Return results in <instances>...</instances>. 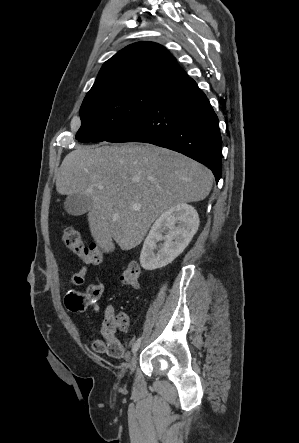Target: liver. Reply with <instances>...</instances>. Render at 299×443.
Wrapping results in <instances>:
<instances>
[{
	"mask_svg": "<svg viewBox=\"0 0 299 443\" xmlns=\"http://www.w3.org/2000/svg\"><path fill=\"white\" fill-rule=\"evenodd\" d=\"M212 183L213 174L204 165L146 144L77 146L56 175L59 194L92 198L90 232L107 252L114 251L113 241L124 251L135 248L163 212L204 200Z\"/></svg>",
	"mask_w": 299,
	"mask_h": 443,
	"instance_id": "1",
	"label": "liver"
}]
</instances>
